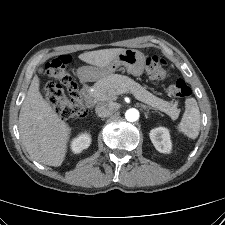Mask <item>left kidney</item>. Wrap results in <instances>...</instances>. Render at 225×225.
<instances>
[{
	"mask_svg": "<svg viewBox=\"0 0 225 225\" xmlns=\"http://www.w3.org/2000/svg\"><path fill=\"white\" fill-rule=\"evenodd\" d=\"M150 139L156 148L161 153H170L172 143L168 129L158 127L150 131Z\"/></svg>",
	"mask_w": 225,
	"mask_h": 225,
	"instance_id": "5707ae66",
	"label": "left kidney"
}]
</instances>
